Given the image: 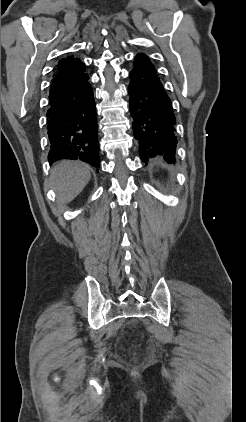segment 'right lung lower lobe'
Returning a JSON list of instances; mask_svg holds the SVG:
<instances>
[{"label":"right lung lower lobe","mask_w":246,"mask_h":422,"mask_svg":"<svg viewBox=\"0 0 246 422\" xmlns=\"http://www.w3.org/2000/svg\"><path fill=\"white\" fill-rule=\"evenodd\" d=\"M88 80L86 74L49 94L46 116L51 164L60 159H79L95 168L100 166L96 107Z\"/></svg>","instance_id":"1"}]
</instances>
